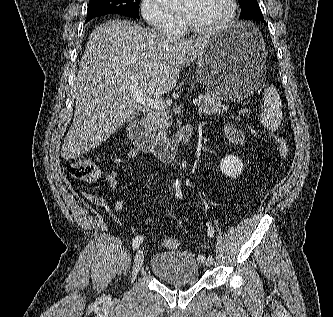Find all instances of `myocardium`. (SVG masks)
<instances>
[{
    "mask_svg": "<svg viewBox=\"0 0 333 317\" xmlns=\"http://www.w3.org/2000/svg\"><path fill=\"white\" fill-rule=\"evenodd\" d=\"M229 3V11L228 14L225 16V18L219 22L218 24L207 27V28H201L193 24L188 18L181 15V20L186 28V30L194 35L197 36H208L213 35L218 32H221L222 30L226 29L234 20L237 9H238V3L237 0H228Z\"/></svg>",
    "mask_w": 333,
    "mask_h": 317,
    "instance_id": "f54148a6",
    "label": "myocardium"
}]
</instances>
